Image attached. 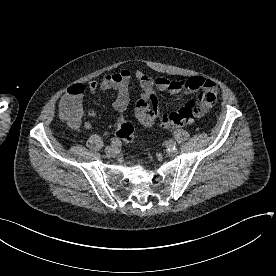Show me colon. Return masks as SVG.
<instances>
[{"instance_id": "obj_1", "label": "colon", "mask_w": 276, "mask_h": 276, "mask_svg": "<svg viewBox=\"0 0 276 276\" xmlns=\"http://www.w3.org/2000/svg\"><path fill=\"white\" fill-rule=\"evenodd\" d=\"M159 100L154 93L141 98L137 103V113L146 124H159L163 128H178L194 123L201 115V107L195 101L187 102L179 110L170 114H161L158 109ZM62 115L66 120H75L78 110L75 107L63 109ZM116 136L125 143H130L134 137V127L128 122L122 112H118L115 122Z\"/></svg>"}]
</instances>
